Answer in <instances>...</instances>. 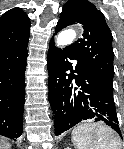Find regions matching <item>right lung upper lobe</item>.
Masks as SVG:
<instances>
[{"label": "right lung upper lobe", "mask_w": 124, "mask_h": 149, "mask_svg": "<svg viewBox=\"0 0 124 149\" xmlns=\"http://www.w3.org/2000/svg\"><path fill=\"white\" fill-rule=\"evenodd\" d=\"M30 20L19 8L6 12L0 18V49L19 47L28 42Z\"/></svg>", "instance_id": "1"}]
</instances>
